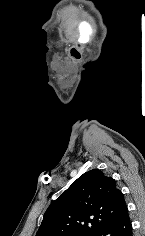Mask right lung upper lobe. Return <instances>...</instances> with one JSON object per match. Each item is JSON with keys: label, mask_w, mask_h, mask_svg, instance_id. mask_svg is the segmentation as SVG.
<instances>
[{"label": "right lung upper lobe", "mask_w": 145, "mask_h": 236, "mask_svg": "<svg viewBox=\"0 0 145 236\" xmlns=\"http://www.w3.org/2000/svg\"><path fill=\"white\" fill-rule=\"evenodd\" d=\"M126 207L115 180L93 169L49 206L36 236H94Z\"/></svg>", "instance_id": "obj_1"}]
</instances>
